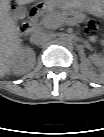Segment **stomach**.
I'll return each instance as SVG.
<instances>
[{
  "mask_svg": "<svg viewBox=\"0 0 104 137\" xmlns=\"http://www.w3.org/2000/svg\"><path fill=\"white\" fill-rule=\"evenodd\" d=\"M50 6L59 7L63 9L76 8L79 10L87 11L96 14L103 7V0H73L72 3H59L57 0H49Z\"/></svg>",
  "mask_w": 104,
  "mask_h": 137,
  "instance_id": "0dacf381",
  "label": "stomach"
}]
</instances>
